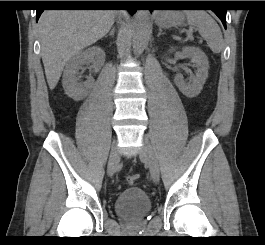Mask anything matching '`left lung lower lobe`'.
I'll list each match as a JSON object with an SVG mask.
<instances>
[{
  "label": "left lung lower lobe",
  "mask_w": 265,
  "mask_h": 245,
  "mask_svg": "<svg viewBox=\"0 0 265 245\" xmlns=\"http://www.w3.org/2000/svg\"><path fill=\"white\" fill-rule=\"evenodd\" d=\"M165 4L168 6L184 7L198 5V1H168ZM212 11L220 18L226 28V9H213Z\"/></svg>",
  "instance_id": "0a47b994"
}]
</instances>
